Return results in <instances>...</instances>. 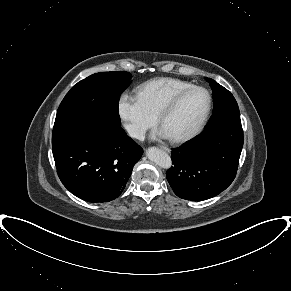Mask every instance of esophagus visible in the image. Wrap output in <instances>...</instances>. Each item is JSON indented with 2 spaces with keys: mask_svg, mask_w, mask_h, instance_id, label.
Segmentation results:
<instances>
[{
  "mask_svg": "<svg viewBox=\"0 0 291 291\" xmlns=\"http://www.w3.org/2000/svg\"><path fill=\"white\" fill-rule=\"evenodd\" d=\"M160 148L166 152H170V149L166 146H160Z\"/></svg>",
  "mask_w": 291,
  "mask_h": 291,
  "instance_id": "34e87169",
  "label": "esophagus"
}]
</instances>
